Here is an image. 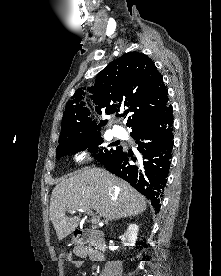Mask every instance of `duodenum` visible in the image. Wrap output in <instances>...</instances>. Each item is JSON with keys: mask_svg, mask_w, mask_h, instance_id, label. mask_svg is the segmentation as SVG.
Segmentation results:
<instances>
[{"mask_svg": "<svg viewBox=\"0 0 221 276\" xmlns=\"http://www.w3.org/2000/svg\"><path fill=\"white\" fill-rule=\"evenodd\" d=\"M76 242L82 246L85 244H91L93 249L102 254V252L106 249L105 241L102 234L93 229H77L74 232Z\"/></svg>", "mask_w": 221, "mask_h": 276, "instance_id": "410a0bca", "label": "duodenum"}]
</instances>
